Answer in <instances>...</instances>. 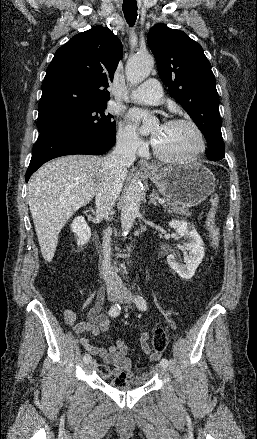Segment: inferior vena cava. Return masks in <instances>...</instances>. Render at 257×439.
<instances>
[{
	"label": "inferior vena cava",
	"mask_w": 257,
	"mask_h": 439,
	"mask_svg": "<svg viewBox=\"0 0 257 439\" xmlns=\"http://www.w3.org/2000/svg\"><path fill=\"white\" fill-rule=\"evenodd\" d=\"M137 147L135 143L128 140L117 142L114 151L103 161L104 176L95 195L96 214L106 219L112 210L118 195L121 192L123 179L127 167L132 165L136 157ZM111 232L105 231L103 237V277L107 288H122L123 282L113 270L110 263L111 255Z\"/></svg>",
	"instance_id": "obj_1"
}]
</instances>
